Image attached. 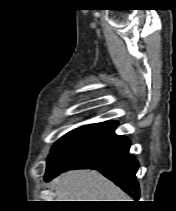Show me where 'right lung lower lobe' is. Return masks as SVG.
<instances>
[{
  "label": "right lung lower lobe",
  "instance_id": "98d812e1",
  "mask_svg": "<svg viewBox=\"0 0 176 211\" xmlns=\"http://www.w3.org/2000/svg\"><path fill=\"white\" fill-rule=\"evenodd\" d=\"M115 121L97 125L69 147L46 169L44 179L50 181L70 169H96L120 186L134 199H139L136 158L129 153L130 140L114 133Z\"/></svg>",
  "mask_w": 176,
  "mask_h": 211
}]
</instances>
